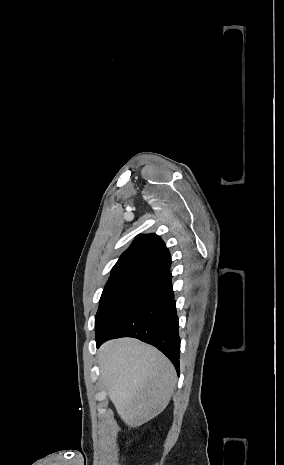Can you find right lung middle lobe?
<instances>
[{
    "label": "right lung middle lobe",
    "mask_w": 284,
    "mask_h": 465,
    "mask_svg": "<svg viewBox=\"0 0 284 465\" xmlns=\"http://www.w3.org/2000/svg\"><path fill=\"white\" fill-rule=\"evenodd\" d=\"M154 282V280L136 277L109 279L102 292L95 316L96 337L132 306Z\"/></svg>",
    "instance_id": "dd1d6c3e"
}]
</instances>
